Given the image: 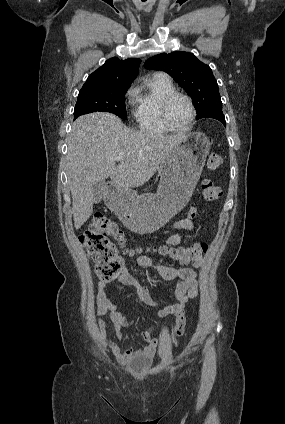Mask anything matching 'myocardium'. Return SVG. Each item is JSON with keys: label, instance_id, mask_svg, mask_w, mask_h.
<instances>
[{"label": "myocardium", "instance_id": "obj_1", "mask_svg": "<svg viewBox=\"0 0 285 424\" xmlns=\"http://www.w3.org/2000/svg\"><path fill=\"white\" fill-rule=\"evenodd\" d=\"M178 97L185 99L188 102L190 109H191V118L189 120V123L183 128L174 127L170 123L169 118H168L169 107H170L171 103L173 102V100L178 98ZM160 116H161V120H162L163 124L165 125V127L168 130L175 132V133H185L192 128V126L195 122L196 116H197V111H196V107H195L194 102L191 99V97H189L188 95H186L184 93H180V92L175 91L172 94L168 95L162 101L161 108H160Z\"/></svg>", "mask_w": 285, "mask_h": 424}]
</instances>
